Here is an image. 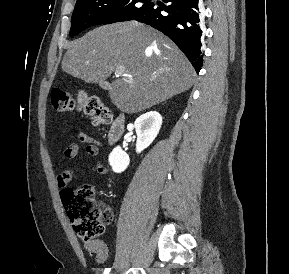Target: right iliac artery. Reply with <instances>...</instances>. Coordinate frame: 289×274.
<instances>
[{"instance_id":"obj_1","label":"right iliac artery","mask_w":289,"mask_h":274,"mask_svg":"<svg viewBox=\"0 0 289 274\" xmlns=\"http://www.w3.org/2000/svg\"><path fill=\"white\" fill-rule=\"evenodd\" d=\"M111 271V268H105L103 274H109Z\"/></svg>"}]
</instances>
